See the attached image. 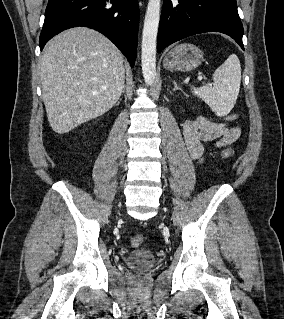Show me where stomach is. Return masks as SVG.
Masks as SVG:
<instances>
[{
	"label": "stomach",
	"mask_w": 284,
	"mask_h": 319,
	"mask_svg": "<svg viewBox=\"0 0 284 319\" xmlns=\"http://www.w3.org/2000/svg\"><path fill=\"white\" fill-rule=\"evenodd\" d=\"M203 60V52L197 46L183 43L166 54L164 66L169 71L187 72L196 69Z\"/></svg>",
	"instance_id": "0dacf381"
}]
</instances>
